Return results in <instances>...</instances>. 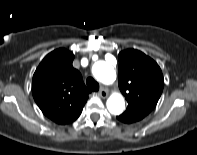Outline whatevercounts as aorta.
<instances>
[{
    "instance_id": "1",
    "label": "aorta",
    "mask_w": 197,
    "mask_h": 155,
    "mask_svg": "<svg viewBox=\"0 0 197 155\" xmlns=\"http://www.w3.org/2000/svg\"><path fill=\"white\" fill-rule=\"evenodd\" d=\"M94 77L103 84L110 85L116 80L114 67L105 61H98L92 67ZM107 109L113 115H119L125 108V101L120 93L112 94L107 102Z\"/></svg>"
}]
</instances>
